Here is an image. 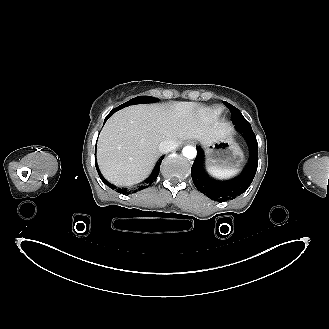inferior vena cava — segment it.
Segmentation results:
<instances>
[{"label":"inferior vena cava","instance_id":"602c4592","mask_svg":"<svg viewBox=\"0 0 329 329\" xmlns=\"http://www.w3.org/2000/svg\"><path fill=\"white\" fill-rule=\"evenodd\" d=\"M178 144L174 140H164L159 144V151L161 153H166L174 150Z\"/></svg>","mask_w":329,"mask_h":329}]
</instances>
